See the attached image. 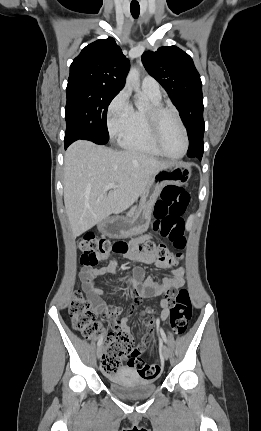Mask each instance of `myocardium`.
<instances>
[{"instance_id": "myocardium-1", "label": "myocardium", "mask_w": 261, "mask_h": 431, "mask_svg": "<svg viewBox=\"0 0 261 431\" xmlns=\"http://www.w3.org/2000/svg\"><path fill=\"white\" fill-rule=\"evenodd\" d=\"M171 113L175 116L181 130L183 133V137H184V150L183 152L179 155V156H171L169 155L163 148L162 144H161V140H160V124H161V119L165 114ZM145 118L147 121V125L149 128V132L152 138V141L154 143V145L156 146V148L160 151V153L171 159V160H180L182 159L188 151L189 148V137H188V132L187 129L185 127L184 122L181 119L180 114L178 113V111L170 106H164L162 104L159 105H151L146 111H145Z\"/></svg>"}]
</instances>
